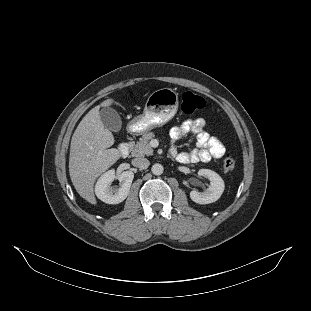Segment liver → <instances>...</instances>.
Masks as SVG:
<instances>
[{
  "label": "liver",
  "instance_id": "1",
  "mask_svg": "<svg viewBox=\"0 0 311 311\" xmlns=\"http://www.w3.org/2000/svg\"><path fill=\"white\" fill-rule=\"evenodd\" d=\"M105 100L102 106H108ZM112 133L104 127L99 117V106L91 109L77 126L70 144L69 172L77 192L95 203L93 184L95 178L113 164L120 156Z\"/></svg>",
  "mask_w": 311,
  "mask_h": 311
}]
</instances>
